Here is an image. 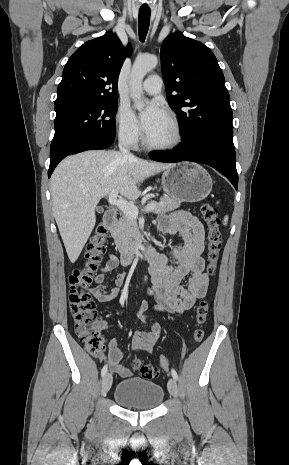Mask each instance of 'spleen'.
Listing matches in <instances>:
<instances>
[{"mask_svg": "<svg viewBox=\"0 0 289 465\" xmlns=\"http://www.w3.org/2000/svg\"><path fill=\"white\" fill-rule=\"evenodd\" d=\"M227 222H228V216L226 215V216L224 217L223 224H224V225H227Z\"/></svg>", "mask_w": 289, "mask_h": 465, "instance_id": "spleen-1", "label": "spleen"}]
</instances>
